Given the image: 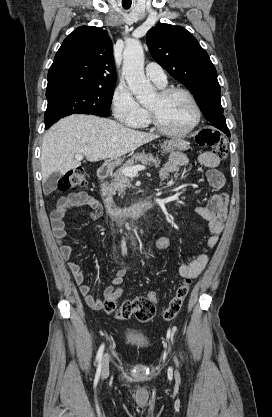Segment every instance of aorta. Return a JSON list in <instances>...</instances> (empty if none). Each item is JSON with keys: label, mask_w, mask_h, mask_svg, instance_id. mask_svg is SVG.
I'll list each match as a JSON object with an SVG mask.
<instances>
[{"label": "aorta", "mask_w": 272, "mask_h": 417, "mask_svg": "<svg viewBox=\"0 0 272 417\" xmlns=\"http://www.w3.org/2000/svg\"><path fill=\"white\" fill-rule=\"evenodd\" d=\"M124 75L131 92L142 105H148L155 99V88L144 74V51L138 40H129L123 52Z\"/></svg>", "instance_id": "obj_1"}]
</instances>
